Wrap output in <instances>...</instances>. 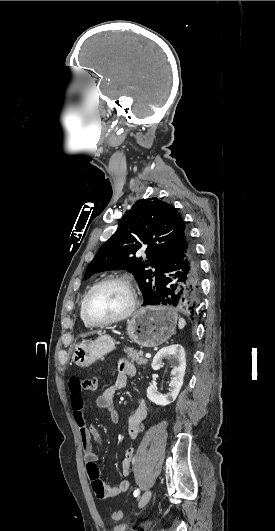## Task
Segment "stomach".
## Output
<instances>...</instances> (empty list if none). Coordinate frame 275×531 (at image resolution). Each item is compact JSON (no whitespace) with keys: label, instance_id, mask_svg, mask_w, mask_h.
Segmentation results:
<instances>
[{"label":"stomach","instance_id":"1","mask_svg":"<svg viewBox=\"0 0 275 531\" xmlns=\"http://www.w3.org/2000/svg\"><path fill=\"white\" fill-rule=\"evenodd\" d=\"M178 313L169 307L167 301L151 303L143 307L127 321V335L140 347H158L168 341L175 333ZM115 349V343L109 335H100L95 341L73 345L72 363L78 367H90L97 359L103 361L104 355Z\"/></svg>","mask_w":275,"mask_h":531}]
</instances>
